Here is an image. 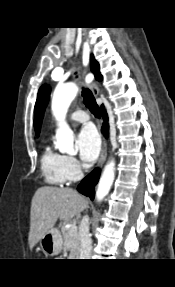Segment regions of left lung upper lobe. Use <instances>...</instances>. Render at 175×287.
<instances>
[{"mask_svg":"<svg viewBox=\"0 0 175 287\" xmlns=\"http://www.w3.org/2000/svg\"><path fill=\"white\" fill-rule=\"evenodd\" d=\"M91 70L95 75V78L97 80H102V76L99 71V64L98 62L94 59L93 55L91 56ZM49 95H50V88L47 85H43L39 89V93L37 96V101L35 104V109H34V127L37 136L40 133V127L43 119V114L45 111V108L47 106L48 100H49Z\"/></svg>","mask_w":175,"mask_h":287,"instance_id":"1","label":"left lung upper lobe"}]
</instances>
